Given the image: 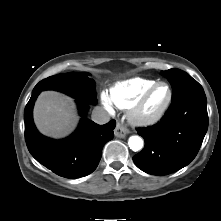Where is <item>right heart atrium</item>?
Segmentation results:
<instances>
[{
  "label": "right heart atrium",
  "mask_w": 221,
  "mask_h": 221,
  "mask_svg": "<svg viewBox=\"0 0 221 221\" xmlns=\"http://www.w3.org/2000/svg\"><path fill=\"white\" fill-rule=\"evenodd\" d=\"M101 101L108 110H112V102L106 93H102Z\"/></svg>",
  "instance_id": "1"
}]
</instances>
